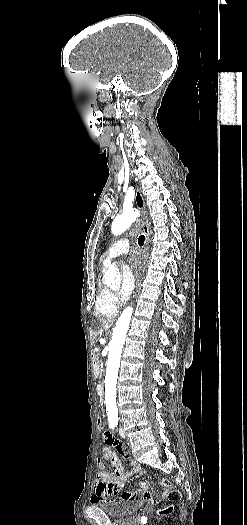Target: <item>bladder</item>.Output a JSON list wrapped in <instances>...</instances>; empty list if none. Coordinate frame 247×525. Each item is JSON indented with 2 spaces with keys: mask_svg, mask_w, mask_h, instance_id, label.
<instances>
[{
  "mask_svg": "<svg viewBox=\"0 0 247 525\" xmlns=\"http://www.w3.org/2000/svg\"><path fill=\"white\" fill-rule=\"evenodd\" d=\"M92 504L108 517L120 518L137 512L143 506V499L140 498L132 501L121 498L110 501L93 502Z\"/></svg>",
  "mask_w": 247,
  "mask_h": 525,
  "instance_id": "obj_1",
  "label": "bladder"
}]
</instances>
